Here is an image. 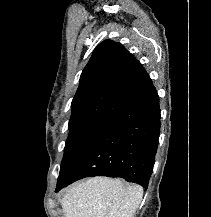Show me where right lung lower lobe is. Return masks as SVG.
Segmentation results:
<instances>
[{"instance_id":"1","label":"right lung lower lobe","mask_w":211,"mask_h":217,"mask_svg":"<svg viewBox=\"0 0 211 217\" xmlns=\"http://www.w3.org/2000/svg\"><path fill=\"white\" fill-rule=\"evenodd\" d=\"M159 96L155 88L111 121L92 145L58 180L56 191L85 177H121L148 187L160 135Z\"/></svg>"}]
</instances>
